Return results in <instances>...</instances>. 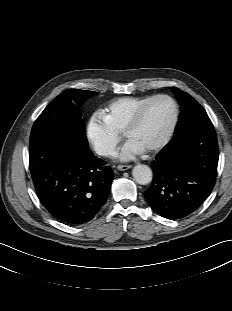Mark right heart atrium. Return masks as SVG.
<instances>
[{
    "label": "right heart atrium",
    "instance_id": "obj_1",
    "mask_svg": "<svg viewBox=\"0 0 232 311\" xmlns=\"http://www.w3.org/2000/svg\"><path fill=\"white\" fill-rule=\"evenodd\" d=\"M86 138L96 153L103 157L112 156L121 140V136L109 126L100 113H95L89 118Z\"/></svg>",
    "mask_w": 232,
    "mask_h": 311
}]
</instances>
